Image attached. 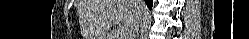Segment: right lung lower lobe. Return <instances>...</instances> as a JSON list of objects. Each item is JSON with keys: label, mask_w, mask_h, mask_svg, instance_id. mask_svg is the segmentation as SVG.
Here are the masks:
<instances>
[{"label": "right lung lower lobe", "mask_w": 249, "mask_h": 39, "mask_svg": "<svg viewBox=\"0 0 249 39\" xmlns=\"http://www.w3.org/2000/svg\"><path fill=\"white\" fill-rule=\"evenodd\" d=\"M147 6L149 7V9L152 8V0H145Z\"/></svg>", "instance_id": "obj_1"}]
</instances>
